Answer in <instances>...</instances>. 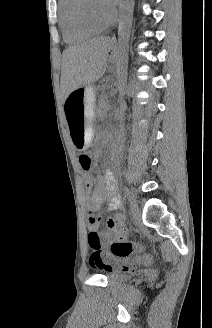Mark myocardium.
I'll list each match as a JSON object with an SVG mask.
<instances>
[{"label": "myocardium", "mask_w": 212, "mask_h": 328, "mask_svg": "<svg viewBox=\"0 0 212 328\" xmlns=\"http://www.w3.org/2000/svg\"><path fill=\"white\" fill-rule=\"evenodd\" d=\"M90 3L91 0H81L79 5V17L83 23L97 30L106 29L114 23L116 19L115 11L112 12L107 21H101L92 13Z\"/></svg>", "instance_id": "f54148a6"}]
</instances>
